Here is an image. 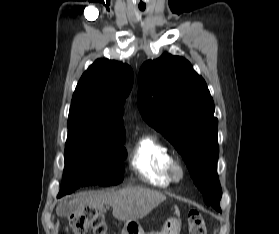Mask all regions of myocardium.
Here are the masks:
<instances>
[{
  "instance_id": "f54148a6",
  "label": "myocardium",
  "mask_w": 279,
  "mask_h": 234,
  "mask_svg": "<svg viewBox=\"0 0 279 234\" xmlns=\"http://www.w3.org/2000/svg\"><path fill=\"white\" fill-rule=\"evenodd\" d=\"M168 172L172 181L179 182L185 176V167L179 160L173 159L169 164Z\"/></svg>"
}]
</instances>
